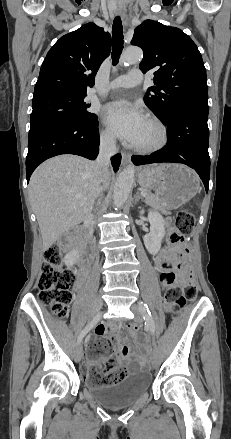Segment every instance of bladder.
Returning a JSON list of instances; mask_svg holds the SVG:
<instances>
[{"mask_svg": "<svg viewBox=\"0 0 231 439\" xmlns=\"http://www.w3.org/2000/svg\"><path fill=\"white\" fill-rule=\"evenodd\" d=\"M152 383L147 371L129 374L124 381L116 385L89 386L92 397L108 408H121L133 404L145 394Z\"/></svg>", "mask_w": 231, "mask_h": 439, "instance_id": "31cf9c89", "label": "bladder"}]
</instances>
